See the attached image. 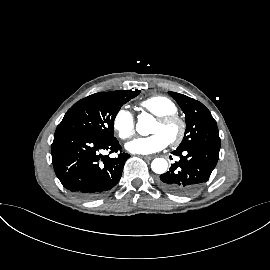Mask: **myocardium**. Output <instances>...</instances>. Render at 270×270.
Segmentation results:
<instances>
[{
  "instance_id": "f54148a6",
  "label": "myocardium",
  "mask_w": 270,
  "mask_h": 270,
  "mask_svg": "<svg viewBox=\"0 0 270 270\" xmlns=\"http://www.w3.org/2000/svg\"><path fill=\"white\" fill-rule=\"evenodd\" d=\"M156 121L163 125H169L173 123L178 124L179 126L178 134L176 135L174 139H172L169 142L171 146H177L183 141L186 135V131H187V124L185 120L182 117H180L178 114H167V115L159 116L157 117Z\"/></svg>"
}]
</instances>
